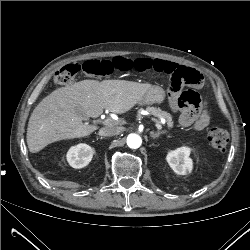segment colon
<instances>
[{
  "label": "colon",
  "mask_w": 250,
  "mask_h": 250,
  "mask_svg": "<svg viewBox=\"0 0 250 250\" xmlns=\"http://www.w3.org/2000/svg\"><path fill=\"white\" fill-rule=\"evenodd\" d=\"M134 69V60L124 57H117L112 60H90L85 63H71L58 69L54 74V82L58 85H69L76 75L83 71L93 77L110 75L114 70L129 71ZM202 82L198 71L190 67H179L171 74V87L178 89L183 85L191 88L182 92L180 101L190 107H198L201 104L199 93L194 89ZM207 139L212 148L224 149L229 141L228 133L221 127H212L207 133Z\"/></svg>",
  "instance_id": "obj_1"
}]
</instances>
